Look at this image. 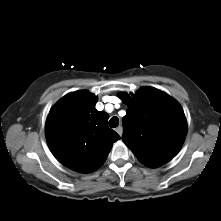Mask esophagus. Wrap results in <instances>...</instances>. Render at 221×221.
Listing matches in <instances>:
<instances>
[{
	"label": "esophagus",
	"mask_w": 221,
	"mask_h": 221,
	"mask_svg": "<svg viewBox=\"0 0 221 221\" xmlns=\"http://www.w3.org/2000/svg\"><path fill=\"white\" fill-rule=\"evenodd\" d=\"M116 132L119 134V136H122V133H123V128L122 126H119L116 128Z\"/></svg>",
	"instance_id": "obj_1"
}]
</instances>
